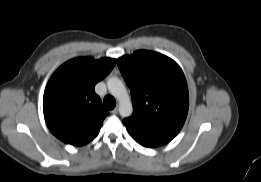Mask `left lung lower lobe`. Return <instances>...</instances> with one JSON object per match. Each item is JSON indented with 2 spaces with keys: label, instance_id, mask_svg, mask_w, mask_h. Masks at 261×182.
I'll use <instances>...</instances> for the list:
<instances>
[{
  "label": "left lung lower lobe",
  "instance_id": "left-lung-lower-lobe-1",
  "mask_svg": "<svg viewBox=\"0 0 261 182\" xmlns=\"http://www.w3.org/2000/svg\"><path fill=\"white\" fill-rule=\"evenodd\" d=\"M140 143V142H138ZM141 145L145 146V147H157L156 145H150V144H144V143H140Z\"/></svg>",
  "mask_w": 261,
  "mask_h": 182
}]
</instances>
